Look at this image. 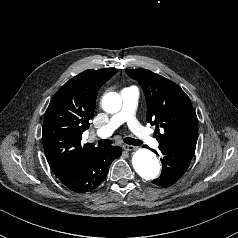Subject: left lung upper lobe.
<instances>
[{"label": "left lung upper lobe", "instance_id": "1", "mask_svg": "<svg viewBox=\"0 0 238 238\" xmlns=\"http://www.w3.org/2000/svg\"><path fill=\"white\" fill-rule=\"evenodd\" d=\"M147 100V122L156 125L159 147L195 153L198 120L189 97L174 82L146 69H128ZM162 127L160 133L158 128Z\"/></svg>", "mask_w": 238, "mask_h": 238}]
</instances>
